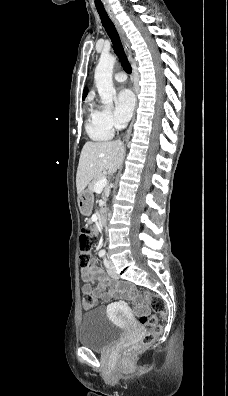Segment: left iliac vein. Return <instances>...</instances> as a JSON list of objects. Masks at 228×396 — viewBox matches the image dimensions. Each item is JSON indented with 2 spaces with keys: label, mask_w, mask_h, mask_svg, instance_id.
Segmentation results:
<instances>
[{
  "label": "left iliac vein",
  "mask_w": 228,
  "mask_h": 396,
  "mask_svg": "<svg viewBox=\"0 0 228 396\" xmlns=\"http://www.w3.org/2000/svg\"><path fill=\"white\" fill-rule=\"evenodd\" d=\"M108 274L112 278H117V273H116L115 267L111 262H109V265H108Z\"/></svg>",
  "instance_id": "obj_1"
}]
</instances>
